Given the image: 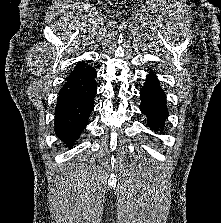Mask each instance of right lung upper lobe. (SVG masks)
Masks as SVG:
<instances>
[{
	"mask_svg": "<svg viewBox=\"0 0 221 223\" xmlns=\"http://www.w3.org/2000/svg\"><path fill=\"white\" fill-rule=\"evenodd\" d=\"M89 67H90V66H87V65L85 64V62H83V61H82V62H79V63L76 65V67L74 68V70L71 72L69 78H71V77H73V76L79 74L80 72L86 70V69L89 68Z\"/></svg>",
	"mask_w": 221,
	"mask_h": 223,
	"instance_id": "right-lung-upper-lobe-1",
	"label": "right lung upper lobe"
}]
</instances>
